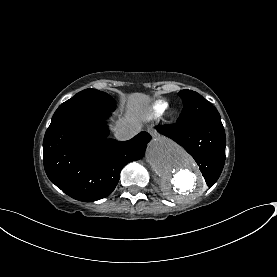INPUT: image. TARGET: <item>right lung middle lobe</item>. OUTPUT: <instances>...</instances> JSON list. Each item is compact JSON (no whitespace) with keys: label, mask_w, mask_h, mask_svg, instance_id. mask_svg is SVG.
Listing matches in <instances>:
<instances>
[{"label":"right lung middle lobe","mask_w":277,"mask_h":277,"mask_svg":"<svg viewBox=\"0 0 277 277\" xmlns=\"http://www.w3.org/2000/svg\"><path fill=\"white\" fill-rule=\"evenodd\" d=\"M114 110L115 102L109 94L96 89H85L58 107L49 127L75 116L110 113Z\"/></svg>","instance_id":"obj_1"}]
</instances>
